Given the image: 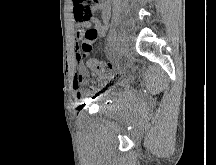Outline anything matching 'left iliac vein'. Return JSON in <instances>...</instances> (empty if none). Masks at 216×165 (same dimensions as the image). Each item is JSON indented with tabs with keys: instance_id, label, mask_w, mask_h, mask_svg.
Returning a JSON list of instances; mask_svg holds the SVG:
<instances>
[{
	"instance_id": "obj_1",
	"label": "left iliac vein",
	"mask_w": 216,
	"mask_h": 165,
	"mask_svg": "<svg viewBox=\"0 0 216 165\" xmlns=\"http://www.w3.org/2000/svg\"><path fill=\"white\" fill-rule=\"evenodd\" d=\"M130 40L129 32L126 29H121L117 35V44L114 54V59H118L128 48Z\"/></svg>"
}]
</instances>
